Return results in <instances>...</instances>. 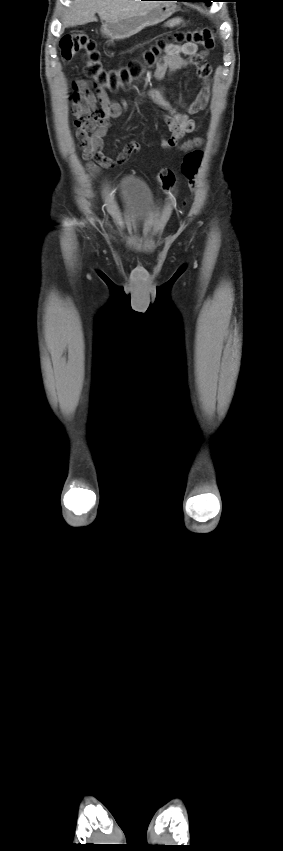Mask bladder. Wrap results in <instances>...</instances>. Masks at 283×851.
Returning <instances> with one entry per match:
<instances>
[{
  "label": "bladder",
  "mask_w": 283,
  "mask_h": 851,
  "mask_svg": "<svg viewBox=\"0 0 283 851\" xmlns=\"http://www.w3.org/2000/svg\"><path fill=\"white\" fill-rule=\"evenodd\" d=\"M117 194L125 218L134 228L142 227L154 206L148 185L137 177L125 176L117 186Z\"/></svg>",
  "instance_id": "1"
}]
</instances>
